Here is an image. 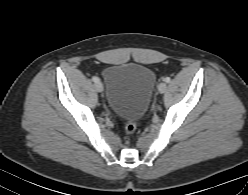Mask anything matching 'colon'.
<instances>
[{
	"instance_id": "obj_1",
	"label": "colon",
	"mask_w": 248,
	"mask_h": 195,
	"mask_svg": "<svg viewBox=\"0 0 248 195\" xmlns=\"http://www.w3.org/2000/svg\"><path fill=\"white\" fill-rule=\"evenodd\" d=\"M137 130V123L133 119L127 120L125 123V134L130 137L132 136Z\"/></svg>"
}]
</instances>
